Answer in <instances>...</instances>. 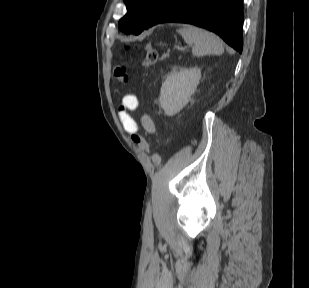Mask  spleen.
Instances as JSON below:
<instances>
[{"instance_id": "1", "label": "spleen", "mask_w": 309, "mask_h": 288, "mask_svg": "<svg viewBox=\"0 0 309 288\" xmlns=\"http://www.w3.org/2000/svg\"><path fill=\"white\" fill-rule=\"evenodd\" d=\"M187 44L193 45V55H220L224 52L223 42L215 34L204 29L187 25L178 30Z\"/></svg>"}]
</instances>
